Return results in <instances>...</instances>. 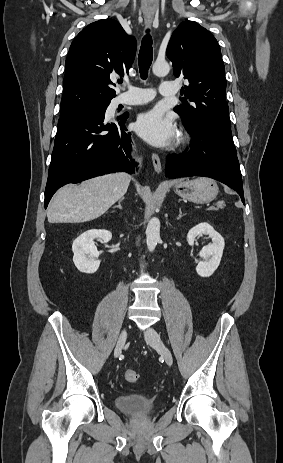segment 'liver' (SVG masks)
Returning a JSON list of instances; mask_svg holds the SVG:
<instances>
[{
  "label": "liver",
  "mask_w": 283,
  "mask_h": 463,
  "mask_svg": "<svg viewBox=\"0 0 283 463\" xmlns=\"http://www.w3.org/2000/svg\"><path fill=\"white\" fill-rule=\"evenodd\" d=\"M130 184L127 173H113L66 185L58 190L47 210L49 223H83L103 215L120 200Z\"/></svg>",
  "instance_id": "6515ba94"
}]
</instances>
